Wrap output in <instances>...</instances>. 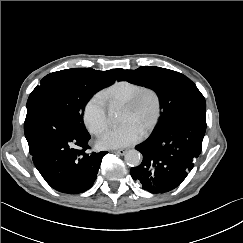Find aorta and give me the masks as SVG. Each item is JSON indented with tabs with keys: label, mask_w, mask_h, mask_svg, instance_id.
I'll return each instance as SVG.
<instances>
[{
	"label": "aorta",
	"mask_w": 243,
	"mask_h": 243,
	"mask_svg": "<svg viewBox=\"0 0 243 243\" xmlns=\"http://www.w3.org/2000/svg\"><path fill=\"white\" fill-rule=\"evenodd\" d=\"M108 117L111 121H115L117 118V112L115 109H110L108 112ZM142 157L139 151L133 149L129 150L125 155V162L131 167H137L140 165Z\"/></svg>",
	"instance_id": "aorta-1"
}]
</instances>
